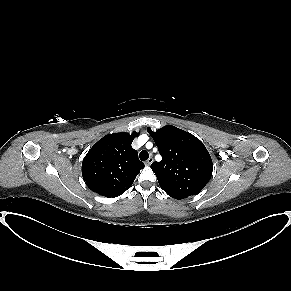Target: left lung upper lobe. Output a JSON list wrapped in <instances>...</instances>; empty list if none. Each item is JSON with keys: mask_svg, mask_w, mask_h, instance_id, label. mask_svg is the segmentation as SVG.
Returning a JSON list of instances; mask_svg holds the SVG:
<instances>
[{"mask_svg": "<svg viewBox=\"0 0 291 291\" xmlns=\"http://www.w3.org/2000/svg\"><path fill=\"white\" fill-rule=\"evenodd\" d=\"M160 162H153L151 168L160 187L175 199H184L198 194L209 182L213 164L204 144L194 135L175 126L166 125L153 132Z\"/></svg>", "mask_w": 291, "mask_h": 291, "instance_id": "left-lung-upper-lobe-1", "label": "left lung upper lobe"}]
</instances>
